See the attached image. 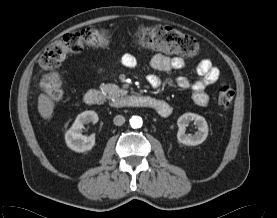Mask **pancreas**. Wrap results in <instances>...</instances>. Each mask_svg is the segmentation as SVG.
Returning a JSON list of instances; mask_svg holds the SVG:
<instances>
[{
	"label": "pancreas",
	"mask_w": 277,
	"mask_h": 218,
	"mask_svg": "<svg viewBox=\"0 0 277 218\" xmlns=\"http://www.w3.org/2000/svg\"><path fill=\"white\" fill-rule=\"evenodd\" d=\"M101 90L108 95L109 99H119L127 95L128 91L119 88L116 84H102Z\"/></svg>",
	"instance_id": "1"
}]
</instances>
